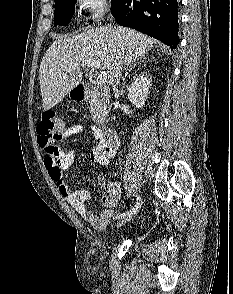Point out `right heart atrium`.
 <instances>
[{
  "label": "right heart atrium",
  "mask_w": 233,
  "mask_h": 294,
  "mask_svg": "<svg viewBox=\"0 0 233 294\" xmlns=\"http://www.w3.org/2000/svg\"><path fill=\"white\" fill-rule=\"evenodd\" d=\"M77 7L89 21L100 22L109 9L108 0H77Z\"/></svg>",
  "instance_id": "d8ad5b80"
}]
</instances>
